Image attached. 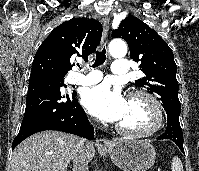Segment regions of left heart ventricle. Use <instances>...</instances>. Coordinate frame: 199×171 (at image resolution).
<instances>
[{
	"instance_id": "b2bd125f",
	"label": "left heart ventricle",
	"mask_w": 199,
	"mask_h": 171,
	"mask_svg": "<svg viewBox=\"0 0 199 171\" xmlns=\"http://www.w3.org/2000/svg\"><path fill=\"white\" fill-rule=\"evenodd\" d=\"M152 123V113L149 105L141 98L127 101V106L118 124L132 130L147 128Z\"/></svg>"
}]
</instances>
